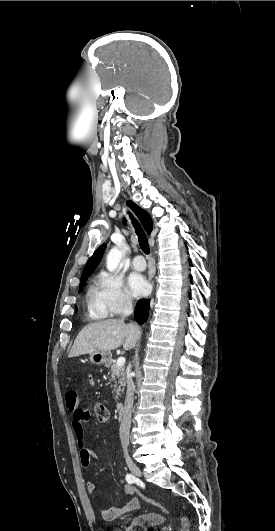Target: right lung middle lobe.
<instances>
[{"instance_id":"1","label":"right lung middle lobe","mask_w":275,"mask_h":531,"mask_svg":"<svg viewBox=\"0 0 275 531\" xmlns=\"http://www.w3.org/2000/svg\"><path fill=\"white\" fill-rule=\"evenodd\" d=\"M85 282H83L82 284H80V288L84 285ZM80 292V291H79Z\"/></svg>"}]
</instances>
